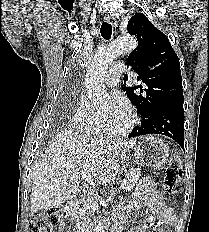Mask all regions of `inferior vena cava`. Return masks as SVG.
I'll use <instances>...</instances> for the list:
<instances>
[{"instance_id":"obj_1","label":"inferior vena cava","mask_w":209,"mask_h":232,"mask_svg":"<svg viewBox=\"0 0 209 232\" xmlns=\"http://www.w3.org/2000/svg\"><path fill=\"white\" fill-rule=\"evenodd\" d=\"M91 196L92 194L90 193L88 198L89 200H91ZM91 215L90 213L86 212L84 217H83V221L80 227V232H91L90 228H91V219H90Z\"/></svg>"}]
</instances>
